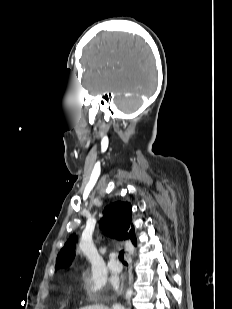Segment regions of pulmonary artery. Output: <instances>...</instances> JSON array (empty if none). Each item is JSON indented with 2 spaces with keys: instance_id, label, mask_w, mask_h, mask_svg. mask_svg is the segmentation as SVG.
Listing matches in <instances>:
<instances>
[{
  "instance_id": "obj_1",
  "label": "pulmonary artery",
  "mask_w": 232,
  "mask_h": 309,
  "mask_svg": "<svg viewBox=\"0 0 232 309\" xmlns=\"http://www.w3.org/2000/svg\"><path fill=\"white\" fill-rule=\"evenodd\" d=\"M107 268L111 273L117 274L122 271L123 267L115 260L114 255H111L110 259L107 262Z\"/></svg>"
}]
</instances>
